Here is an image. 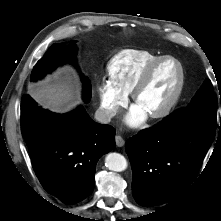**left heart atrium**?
Wrapping results in <instances>:
<instances>
[{
	"mask_svg": "<svg viewBox=\"0 0 221 221\" xmlns=\"http://www.w3.org/2000/svg\"><path fill=\"white\" fill-rule=\"evenodd\" d=\"M147 117V113L138 105H134L126 116V122L131 126H137Z\"/></svg>",
	"mask_w": 221,
	"mask_h": 221,
	"instance_id": "obj_1",
	"label": "left heart atrium"
}]
</instances>
